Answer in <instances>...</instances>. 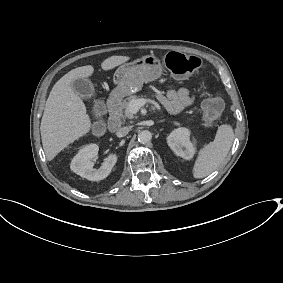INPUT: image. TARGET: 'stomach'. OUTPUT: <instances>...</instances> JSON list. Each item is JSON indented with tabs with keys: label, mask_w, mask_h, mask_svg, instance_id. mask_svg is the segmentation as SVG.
<instances>
[{
	"label": "stomach",
	"mask_w": 283,
	"mask_h": 283,
	"mask_svg": "<svg viewBox=\"0 0 283 283\" xmlns=\"http://www.w3.org/2000/svg\"><path fill=\"white\" fill-rule=\"evenodd\" d=\"M162 71L163 67L154 55H146L125 63L114 74L113 81L117 87L113 92L119 96L136 93L141 90L144 83L158 79Z\"/></svg>",
	"instance_id": "stomach-1"
}]
</instances>
